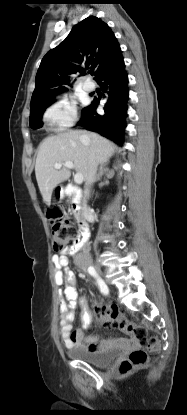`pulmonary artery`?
<instances>
[{
  "instance_id": "obj_1",
  "label": "pulmonary artery",
  "mask_w": 187,
  "mask_h": 415,
  "mask_svg": "<svg viewBox=\"0 0 187 415\" xmlns=\"http://www.w3.org/2000/svg\"><path fill=\"white\" fill-rule=\"evenodd\" d=\"M83 89L87 92H91V91H94L95 86L92 82L86 81L83 83Z\"/></svg>"
}]
</instances>
